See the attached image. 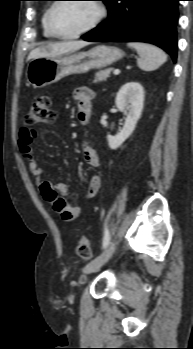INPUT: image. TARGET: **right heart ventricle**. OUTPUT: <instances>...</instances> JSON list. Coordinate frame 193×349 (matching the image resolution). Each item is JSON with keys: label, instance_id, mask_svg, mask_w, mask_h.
I'll return each instance as SVG.
<instances>
[{"label": "right heart ventricle", "instance_id": "e07e8e85", "mask_svg": "<svg viewBox=\"0 0 193 349\" xmlns=\"http://www.w3.org/2000/svg\"><path fill=\"white\" fill-rule=\"evenodd\" d=\"M50 7V6H49ZM49 7H47L41 17V26H42V30H43V35L46 38H51L53 37L50 32L48 31L47 25H46V15H47V11L49 9Z\"/></svg>", "mask_w": 193, "mask_h": 349}]
</instances>
